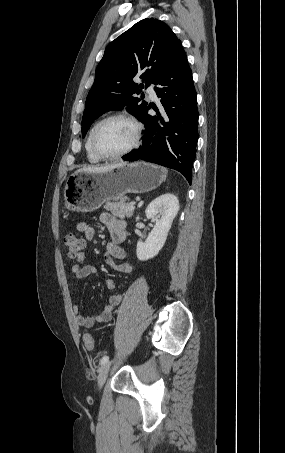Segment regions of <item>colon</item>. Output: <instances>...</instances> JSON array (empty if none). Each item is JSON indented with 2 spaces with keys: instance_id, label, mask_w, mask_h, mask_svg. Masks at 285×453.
Returning a JSON list of instances; mask_svg holds the SVG:
<instances>
[{
  "instance_id": "obj_1",
  "label": "colon",
  "mask_w": 285,
  "mask_h": 453,
  "mask_svg": "<svg viewBox=\"0 0 285 453\" xmlns=\"http://www.w3.org/2000/svg\"><path fill=\"white\" fill-rule=\"evenodd\" d=\"M63 243L66 248L67 255L70 258H77L83 252L85 246L84 240L74 233L65 235ZM83 344L86 350L93 351L95 349L94 337L89 333L84 334Z\"/></svg>"
}]
</instances>
